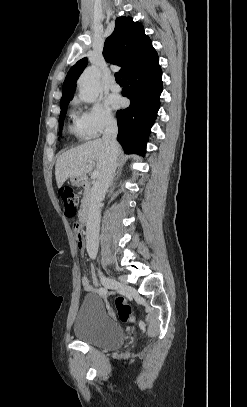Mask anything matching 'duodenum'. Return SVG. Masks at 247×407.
Segmentation results:
<instances>
[{
  "label": "duodenum",
  "instance_id": "duodenum-1",
  "mask_svg": "<svg viewBox=\"0 0 247 407\" xmlns=\"http://www.w3.org/2000/svg\"><path fill=\"white\" fill-rule=\"evenodd\" d=\"M90 209L88 206H83L79 212V222H83L86 225L89 222Z\"/></svg>",
  "mask_w": 247,
  "mask_h": 407
}]
</instances>
